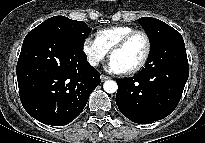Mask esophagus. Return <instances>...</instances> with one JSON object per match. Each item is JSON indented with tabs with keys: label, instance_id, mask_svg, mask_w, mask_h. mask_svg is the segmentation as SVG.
<instances>
[{
	"label": "esophagus",
	"instance_id": "1",
	"mask_svg": "<svg viewBox=\"0 0 205 143\" xmlns=\"http://www.w3.org/2000/svg\"><path fill=\"white\" fill-rule=\"evenodd\" d=\"M100 78H101V81L104 82V81L108 80L110 77L102 74Z\"/></svg>",
	"mask_w": 205,
	"mask_h": 143
}]
</instances>
